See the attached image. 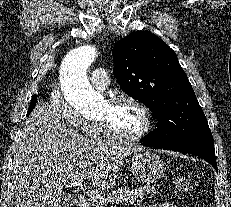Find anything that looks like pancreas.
Wrapping results in <instances>:
<instances>
[{
    "label": "pancreas",
    "mask_w": 231,
    "mask_h": 207,
    "mask_svg": "<svg viewBox=\"0 0 231 207\" xmlns=\"http://www.w3.org/2000/svg\"><path fill=\"white\" fill-rule=\"evenodd\" d=\"M152 192L153 190H151L148 186L136 189L121 187L107 193L105 196H100L90 200L89 207H108L110 204H119L124 202L129 204L140 203L145 199V195L151 194Z\"/></svg>",
    "instance_id": "pancreas-1"
}]
</instances>
